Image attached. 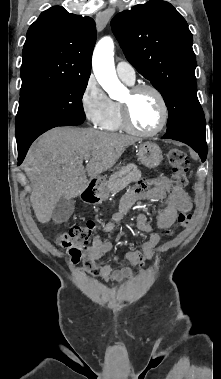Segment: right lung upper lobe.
Here are the masks:
<instances>
[{"instance_id":"1","label":"right lung upper lobe","mask_w":221,"mask_h":379,"mask_svg":"<svg viewBox=\"0 0 221 379\" xmlns=\"http://www.w3.org/2000/svg\"><path fill=\"white\" fill-rule=\"evenodd\" d=\"M95 22L53 6L30 26L22 51L21 90L51 82L89 78Z\"/></svg>"}]
</instances>
